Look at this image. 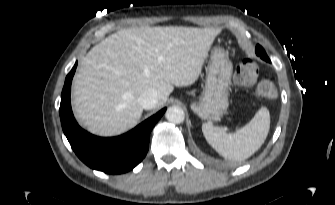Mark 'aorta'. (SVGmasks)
<instances>
[{
  "label": "aorta",
  "mask_w": 335,
  "mask_h": 205,
  "mask_svg": "<svg viewBox=\"0 0 335 205\" xmlns=\"http://www.w3.org/2000/svg\"><path fill=\"white\" fill-rule=\"evenodd\" d=\"M166 119L173 124H180L184 121L185 114L182 108L171 106L166 111Z\"/></svg>",
  "instance_id": "762f6f07"
}]
</instances>
